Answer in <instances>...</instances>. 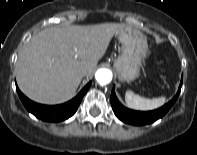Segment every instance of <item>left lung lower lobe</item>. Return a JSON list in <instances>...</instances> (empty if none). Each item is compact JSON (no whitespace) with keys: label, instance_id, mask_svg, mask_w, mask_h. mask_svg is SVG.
Listing matches in <instances>:
<instances>
[{"label":"left lung lower lobe","instance_id":"left-lung-lower-lobe-1","mask_svg":"<svg viewBox=\"0 0 197 155\" xmlns=\"http://www.w3.org/2000/svg\"><path fill=\"white\" fill-rule=\"evenodd\" d=\"M182 86V79L179 86V90L177 94L174 96V98L162 106L159 109L153 110V111H147V112H141V111H134L131 109L125 108L117 99L115 95L114 88L111 92V105L112 109L115 113V115L124 123L131 124V125H146L153 123L154 121L158 120L159 118H162L169 109L173 106L175 101L177 100L180 90Z\"/></svg>","mask_w":197,"mask_h":155}]
</instances>
